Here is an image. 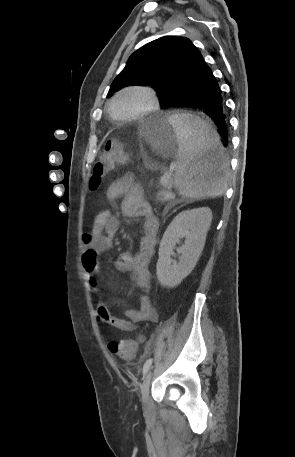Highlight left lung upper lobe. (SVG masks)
<instances>
[{
  "mask_svg": "<svg viewBox=\"0 0 295 457\" xmlns=\"http://www.w3.org/2000/svg\"><path fill=\"white\" fill-rule=\"evenodd\" d=\"M200 51L185 37L164 36L135 51L114 79L107 96L125 86L154 88L164 107L188 84L189 71Z\"/></svg>",
  "mask_w": 295,
  "mask_h": 457,
  "instance_id": "5c2ea615",
  "label": "left lung upper lobe"
}]
</instances>
